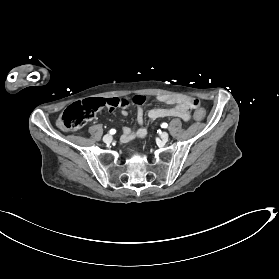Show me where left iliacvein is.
Returning <instances> with one entry per match:
<instances>
[{"label": "left iliac vein", "mask_w": 279, "mask_h": 279, "mask_svg": "<svg viewBox=\"0 0 279 279\" xmlns=\"http://www.w3.org/2000/svg\"><path fill=\"white\" fill-rule=\"evenodd\" d=\"M160 137L162 140L166 141L169 138V134L167 132H162Z\"/></svg>", "instance_id": "obj_1"}]
</instances>
